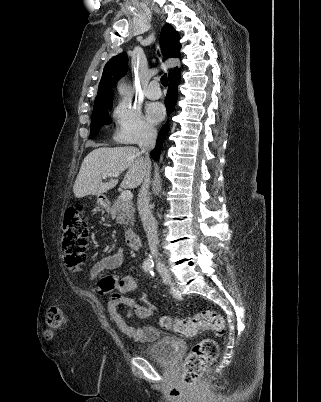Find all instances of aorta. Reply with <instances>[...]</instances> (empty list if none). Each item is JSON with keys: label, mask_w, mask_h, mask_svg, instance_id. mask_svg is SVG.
<instances>
[{"label": "aorta", "mask_w": 321, "mask_h": 402, "mask_svg": "<svg viewBox=\"0 0 321 402\" xmlns=\"http://www.w3.org/2000/svg\"><path fill=\"white\" fill-rule=\"evenodd\" d=\"M118 90H119V93H120L121 95H126V94L129 93V89H128V87H127L126 85H121ZM144 265H145L148 269H151V268H152L153 260H152L151 256L148 257V258L144 261Z\"/></svg>", "instance_id": "762f6f07"}]
</instances>
